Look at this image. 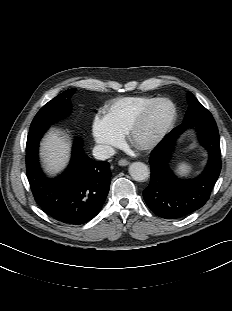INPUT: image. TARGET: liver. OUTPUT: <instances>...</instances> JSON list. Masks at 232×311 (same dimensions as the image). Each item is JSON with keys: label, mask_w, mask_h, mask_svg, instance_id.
Instances as JSON below:
<instances>
[{"label": "liver", "mask_w": 232, "mask_h": 311, "mask_svg": "<svg viewBox=\"0 0 232 311\" xmlns=\"http://www.w3.org/2000/svg\"><path fill=\"white\" fill-rule=\"evenodd\" d=\"M71 144L59 131L49 132L41 143V157L46 170L56 173L64 169L69 161Z\"/></svg>", "instance_id": "obj_1"}]
</instances>
